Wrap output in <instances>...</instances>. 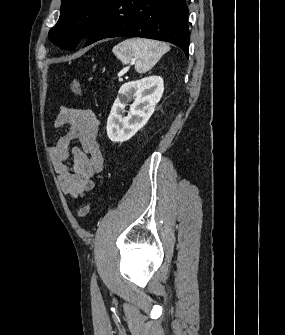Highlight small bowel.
Here are the masks:
<instances>
[{
  "mask_svg": "<svg viewBox=\"0 0 285 335\" xmlns=\"http://www.w3.org/2000/svg\"><path fill=\"white\" fill-rule=\"evenodd\" d=\"M98 125L92 110L65 106L54 120L55 128H69L49 152L62 191L73 198L91 191L94 175L103 169L104 157L97 142ZM75 140L79 145L70 148Z\"/></svg>",
  "mask_w": 285,
  "mask_h": 335,
  "instance_id": "obj_1",
  "label": "small bowel"
}]
</instances>
